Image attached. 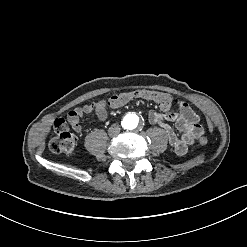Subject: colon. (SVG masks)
Wrapping results in <instances>:
<instances>
[{
  "label": "colon",
  "mask_w": 247,
  "mask_h": 247,
  "mask_svg": "<svg viewBox=\"0 0 247 247\" xmlns=\"http://www.w3.org/2000/svg\"><path fill=\"white\" fill-rule=\"evenodd\" d=\"M135 96H146L147 101H158L159 109L169 106L168 92H161L159 88H137L135 92H114L113 100H110V109H121L128 101H134ZM202 147L208 146V140L199 138ZM77 141L70 132V124L64 119L57 120L53 125V135L49 140V149L57 154H70L75 150Z\"/></svg>",
  "instance_id": "1"
}]
</instances>
